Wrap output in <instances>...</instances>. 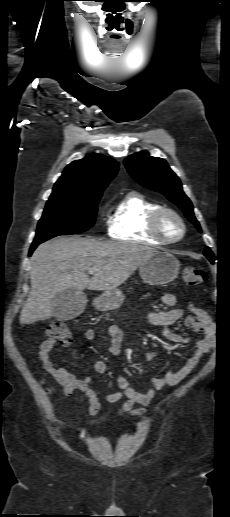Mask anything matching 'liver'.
<instances>
[{"label": "liver", "mask_w": 230, "mask_h": 517, "mask_svg": "<svg viewBox=\"0 0 230 517\" xmlns=\"http://www.w3.org/2000/svg\"><path fill=\"white\" fill-rule=\"evenodd\" d=\"M156 252L149 246L78 237H60L39 245L31 257V292L20 323L51 318L52 301L61 292L117 288ZM93 267L97 271L89 278L86 272Z\"/></svg>", "instance_id": "6515ba94"}]
</instances>
